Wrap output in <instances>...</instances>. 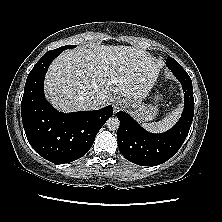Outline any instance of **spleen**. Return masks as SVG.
<instances>
[{
  "label": "spleen",
  "mask_w": 222,
  "mask_h": 222,
  "mask_svg": "<svg viewBox=\"0 0 222 222\" xmlns=\"http://www.w3.org/2000/svg\"><path fill=\"white\" fill-rule=\"evenodd\" d=\"M182 112V106L179 105L178 108L173 110L171 113H169L164 119L158 122H152V123H144L143 127L153 133H161L169 128H171L177 120L180 118Z\"/></svg>",
  "instance_id": "3e777b00"
}]
</instances>
